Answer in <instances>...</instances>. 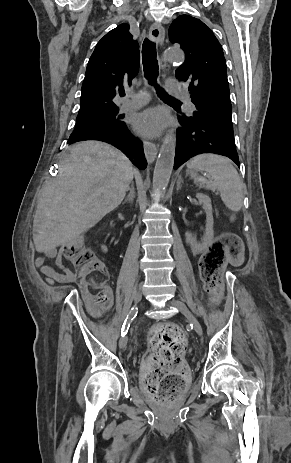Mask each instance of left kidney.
<instances>
[{
	"label": "left kidney",
	"instance_id": "left-kidney-1",
	"mask_svg": "<svg viewBox=\"0 0 291 463\" xmlns=\"http://www.w3.org/2000/svg\"><path fill=\"white\" fill-rule=\"evenodd\" d=\"M196 197L199 200V203L202 205V208L206 213L205 233L200 242H197L196 238L192 235L191 232H186L185 237H186V242L191 246L192 252L194 254H200L208 247V245L211 243L214 237V231H213L214 220H213V214H212L211 200L209 196L202 194V193H198L196 194Z\"/></svg>",
	"mask_w": 291,
	"mask_h": 463
}]
</instances>
